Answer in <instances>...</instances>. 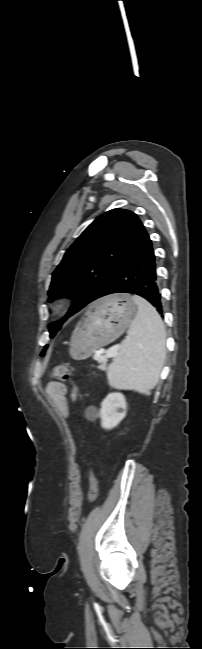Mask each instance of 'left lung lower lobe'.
Masks as SVG:
<instances>
[{
  "label": "left lung lower lobe",
  "mask_w": 202,
  "mask_h": 649,
  "mask_svg": "<svg viewBox=\"0 0 202 649\" xmlns=\"http://www.w3.org/2000/svg\"><path fill=\"white\" fill-rule=\"evenodd\" d=\"M113 293L140 295L163 316L154 250L144 226L131 240L119 261L105 278L104 285L95 300ZM46 349L47 346L41 354H44Z\"/></svg>",
  "instance_id": "obj_1"
}]
</instances>
